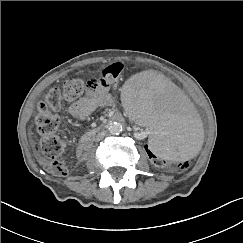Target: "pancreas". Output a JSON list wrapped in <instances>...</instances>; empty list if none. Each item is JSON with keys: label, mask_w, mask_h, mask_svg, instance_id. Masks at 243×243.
Listing matches in <instances>:
<instances>
[{"label": "pancreas", "mask_w": 243, "mask_h": 243, "mask_svg": "<svg viewBox=\"0 0 243 243\" xmlns=\"http://www.w3.org/2000/svg\"><path fill=\"white\" fill-rule=\"evenodd\" d=\"M96 133V130H91L81 137V140L89 139Z\"/></svg>", "instance_id": "obj_1"}]
</instances>
